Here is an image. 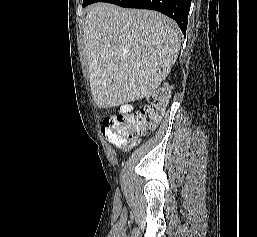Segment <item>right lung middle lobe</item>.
<instances>
[{"mask_svg": "<svg viewBox=\"0 0 257 237\" xmlns=\"http://www.w3.org/2000/svg\"><path fill=\"white\" fill-rule=\"evenodd\" d=\"M99 1L102 2L103 0H83V7Z\"/></svg>", "mask_w": 257, "mask_h": 237, "instance_id": "1", "label": "right lung middle lobe"}]
</instances>
